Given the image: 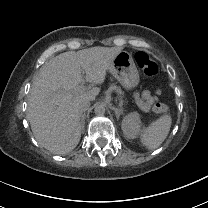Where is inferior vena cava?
<instances>
[{
	"label": "inferior vena cava",
	"mask_w": 208,
	"mask_h": 208,
	"mask_svg": "<svg viewBox=\"0 0 208 208\" xmlns=\"http://www.w3.org/2000/svg\"><path fill=\"white\" fill-rule=\"evenodd\" d=\"M79 112H85L90 107V101L86 98L79 97L76 103Z\"/></svg>",
	"instance_id": "602c4592"
}]
</instances>
